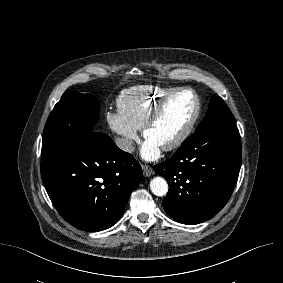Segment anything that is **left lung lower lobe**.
<instances>
[{"label":"left lung lower lobe","mask_w":283,"mask_h":283,"mask_svg":"<svg viewBox=\"0 0 283 283\" xmlns=\"http://www.w3.org/2000/svg\"><path fill=\"white\" fill-rule=\"evenodd\" d=\"M242 159L236 125L213 127L188 137L165 162L154 166L169 191L163 200L167 214L194 225L216 215L229 200Z\"/></svg>","instance_id":"0a47b994"}]
</instances>
